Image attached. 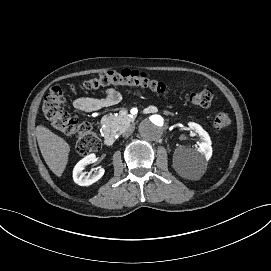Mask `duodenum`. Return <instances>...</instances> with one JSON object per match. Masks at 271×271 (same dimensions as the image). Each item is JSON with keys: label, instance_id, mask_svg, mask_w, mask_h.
I'll use <instances>...</instances> for the list:
<instances>
[{"label": "duodenum", "instance_id": "duodenum-1", "mask_svg": "<svg viewBox=\"0 0 271 271\" xmlns=\"http://www.w3.org/2000/svg\"><path fill=\"white\" fill-rule=\"evenodd\" d=\"M115 143V137L112 133H107L104 135V144L108 147L113 146Z\"/></svg>", "mask_w": 271, "mask_h": 271}]
</instances>
